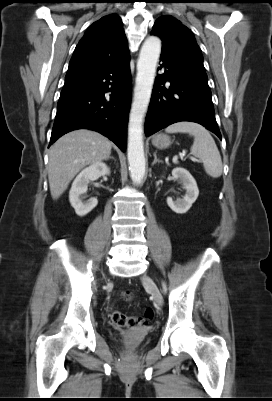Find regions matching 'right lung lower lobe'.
Masks as SVG:
<instances>
[{
    "label": "right lung lower lobe",
    "mask_w": 272,
    "mask_h": 401,
    "mask_svg": "<svg viewBox=\"0 0 272 401\" xmlns=\"http://www.w3.org/2000/svg\"><path fill=\"white\" fill-rule=\"evenodd\" d=\"M130 97L128 52L99 72L64 84L49 145L72 130L91 129L108 137L124 152Z\"/></svg>",
    "instance_id": "obj_1"
}]
</instances>
